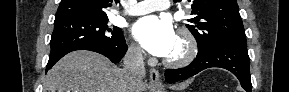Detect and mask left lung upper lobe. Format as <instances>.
<instances>
[{
  "label": "left lung upper lobe",
  "mask_w": 289,
  "mask_h": 92,
  "mask_svg": "<svg viewBox=\"0 0 289 92\" xmlns=\"http://www.w3.org/2000/svg\"><path fill=\"white\" fill-rule=\"evenodd\" d=\"M191 14L197 16L188 19L191 24L186 27L198 43L199 54L223 42H246L236 0H193Z\"/></svg>",
  "instance_id": "5c2ea615"
}]
</instances>
